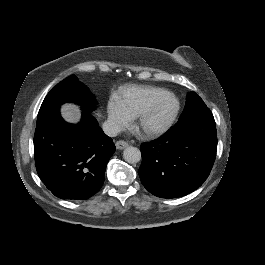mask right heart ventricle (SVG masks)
<instances>
[{"label":"right heart ventricle","mask_w":265,"mask_h":265,"mask_svg":"<svg viewBox=\"0 0 265 265\" xmlns=\"http://www.w3.org/2000/svg\"><path fill=\"white\" fill-rule=\"evenodd\" d=\"M159 88L133 87L113 97L114 105L125 115L132 119L138 115L141 109L155 95Z\"/></svg>","instance_id":"obj_1"}]
</instances>
